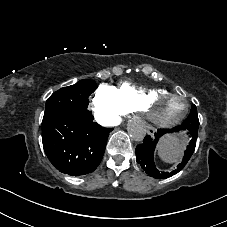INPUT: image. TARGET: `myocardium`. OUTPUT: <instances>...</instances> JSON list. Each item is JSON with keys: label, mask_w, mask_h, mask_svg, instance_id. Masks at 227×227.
<instances>
[{"label": "myocardium", "mask_w": 227, "mask_h": 227, "mask_svg": "<svg viewBox=\"0 0 227 227\" xmlns=\"http://www.w3.org/2000/svg\"><path fill=\"white\" fill-rule=\"evenodd\" d=\"M165 98H169V99L180 98L184 102L181 113L169 120H162L153 113V108ZM188 111H189V102L186 95L178 94V93H165L163 95L152 97L148 101H146L141 112L143 114V117L151 125L160 127V126H173L179 123L186 116Z\"/></svg>", "instance_id": "obj_1"}]
</instances>
